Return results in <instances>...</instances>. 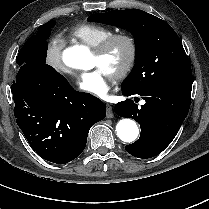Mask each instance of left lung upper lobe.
Returning a JSON list of instances; mask_svg holds the SVG:
<instances>
[{
  "instance_id": "5c2ea615",
  "label": "left lung upper lobe",
  "mask_w": 209,
  "mask_h": 209,
  "mask_svg": "<svg viewBox=\"0 0 209 209\" xmlns=\"http://www.w3.org/2000/svg\"><path fill=\"white\" fill-rule=\"evenodd\" d=\"M88 21L115 25L135 38V65L121 89L139 91L159 83L192 81L182 43L165 21L139 9L112 10L91 15Z\"/></svg>"
}]
</instances>
